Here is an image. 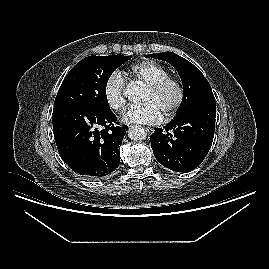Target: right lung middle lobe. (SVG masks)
<instances>
[{"instance_id":"1","label":"right lung middle lobe","mask_w":269,"mask_h":269,"mask_svg":"<svg viewBox=\"0 0 269 269\" xmlns=\"http://www.w3.org/2000/svg\"><path fill=\"white\" fill-rule=\"evenodd\" d=\"M130 56H88L67 74L57 93L54 107L77 104L110 110L106 85L116 68Z\"/></svg>"}]
</instances>
